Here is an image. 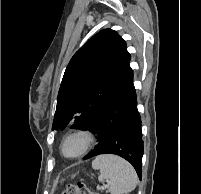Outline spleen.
<instances>
[{
  "label": "spleen",
  "mask_w": 201,
  "mask_h": 194,
  "mask_svg": "<svg viewBox=\"0 0 201 194\" xmlns=\"http://www.w3.org/2000/svg\"><path fill=\"white\" fill-rule=\"evenodd\" d=\"M92 168L100 170L98 179L107 180L111 194H128L137 185V175L132 165L116 155L97 156Z\"/></svg>",
  "instance_id": "spleen-1"
}]
</instances>
